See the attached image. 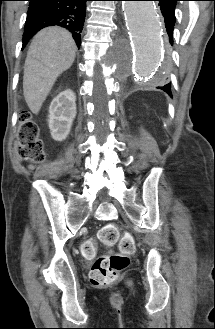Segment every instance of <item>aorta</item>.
I'll return each mask as SVG.
<instances>
[{
    "label": "aorta",
    "instance_id": "aorta-1",
    "mask_svg": "<svg viewBox=\"0 0 215 329\" xmlns=\"http://www.w3.org/2000/svg\"><path fill=\"white\" fill-rule=\"evenodd\" d=\"M126 27L135 49V69L143 79H159L163 54V26L152 1H124Z\"/></svg>",
    "mask_w": 215,
    "mask_h": 329
}]
</instances>
